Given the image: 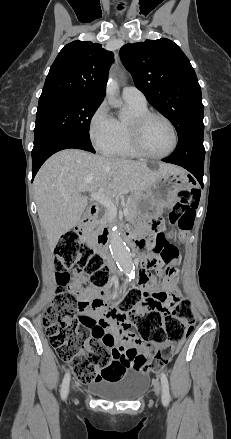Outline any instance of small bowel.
<instances>
[{
    "mask_svg": "<svg viewBox=\"0 0 231 439\" xmlns=\"http://www.w3.org/2000/svg\"><path fill=\"white\" fill-rule=\"evenodd\" d=\"M140 245L141 243L138 242ZM175 247L170 243L162 233L154 236L151 243V252L148 255H142V265L147 268L150 265V259L153 253L159 254L168 249ZM170 272L165 275L160 288L154 283V289L144 288V299L140 311L146 312L152 309L170 310L172 306L179 301L181 293L176 287L177 270L175 262L170 266ZM83 276L76 274L70 290L74 291L77 296L87 303L82 312V318L89 322L92 332V345H105L114 353L119 354L121 359L127 361L129 366L126 370L134 368L131 353H141L145 351L144 345L138 337L129 330L130 324L123 316L116 313L107 302H100L99 305L92 307L91 304L98 300L97 293H89L82 289ZM115 296V295H114ZM117 331L118 335L114 332ZM82 352H85L83 350Z\"/></svg>",
    "mask_w": 231,
    "mask_h": 439,
    "instance_id": "obj_1",
    "label": "small bowel"
}]
</instances>
